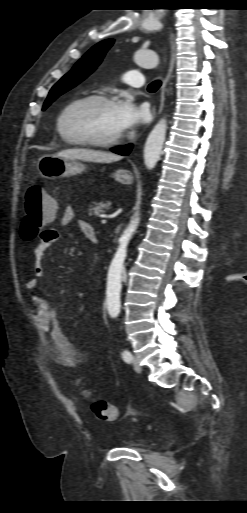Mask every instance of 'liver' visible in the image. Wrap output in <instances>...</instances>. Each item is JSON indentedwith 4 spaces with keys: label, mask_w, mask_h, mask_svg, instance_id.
I'll list each match as a JSON object with an SVG mask.
<instances>
[{
    "label": "liver",
    "mask_w": 247,
    "mask_h": 513,
    "mask_svg": "<svg viewBox=\"0 0 247 513\" xmlns=\"http://www.w3.org/2000/svg\"><path fill=\"white\" fill-rule=\"evenodd\" d=\"M57 155L65 159H80L85 161L106 163L119 161L122 158L121 156L111 152H102L86 148H73L62 150L58 152Z\"/></svg>",
    "instance_id": "1"
}]
</instances>
